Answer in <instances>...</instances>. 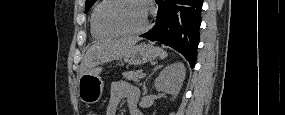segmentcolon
I'll use <instances>...</instances> for the list:
<instances>
[{"mask_svg": "<svg viewBox=\"0 0 285 115\" xmlns=\"http://www.w3.org/2000/svg\"><path fill=\"white\" fill-rule=\"evenodd\" d=\"M98 113L96 111L90 110L88 111L87 115H97Z\"/></svg>", "mask_w": 285, "mask_h": 115, "instance_id": "5ec220e1", "label": "colon"}]
</instances>
